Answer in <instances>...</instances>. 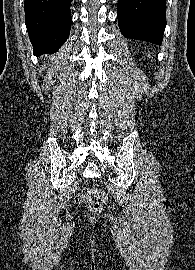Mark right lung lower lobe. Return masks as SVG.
<instances>
[{
  "mask_svg": "<svg viewBox=\"0 0 195 270\" xmlns=\"http://www.w3.org/2000/svg\"><path fill=\"white\" fill-rule=\"evenodd\" d=\"M71 0H25V23L35 55L53 53L71 28Z\"/></svg>",
  "mask_w": 195,
  "mask_h": 270,
  "instance_id": "obj_1",
  "label": "right lung lower lobe"
}]
</instances>
